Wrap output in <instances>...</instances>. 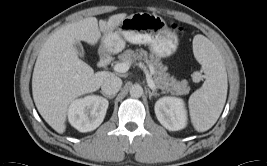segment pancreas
I'll list each match as a JSON object with an SVG mask.
<instances>
[{"instance_id": "1", "label": "pancreas", "mask_w": 267, "mask_h": 166, "mask_svg": "<svg viewBox=\"0 0 267 166\" xmlns=\"http://www.w3.org/2000/svg\"><path fill=\"white\" fill-rule=\"evenodd\" d=\"M120 62H126L129 65L136 61H144L153 74V81L157 88L179 95L188 94L190 88L186 80L177 81L173 76L167 73V67L164 66L153 55H149L145 50L133 51L128 49L118 56Z\"/></svg>"}]
</instances>
